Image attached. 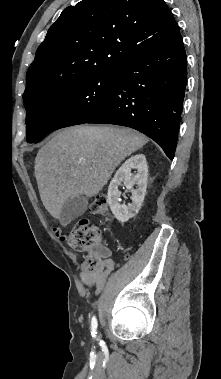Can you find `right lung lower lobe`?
Here are the masks:
<instances>
[{
	"instance_id": "98d812e1",
	"label": "right lung lower lobe",
	"mask_w": 221,
	"mask_h": 379,
	"mask_svg": "<svg viewBox=\"0 0 221 379\" xmlns=\"http://www.w3.org/2000/svg\"><path fill=\"white\" fill-rule=\"evenodd\" d=\"M187 82L180 33L118 68L110 100L83 123L134 128L157 142L171 160L177 144Z\"/></svg>"
}]
</instances>
